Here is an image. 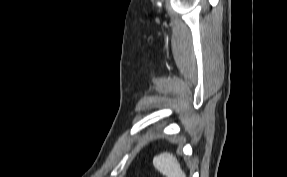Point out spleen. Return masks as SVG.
Instances as JSON below:
<instances>
[{
  "label": "spleen",
  "instance_id": "obj_1",
  "mask_svg": "<svg viewBox=\"0 0 287 177\" xmlns=\"http://www.w3.org/2000/svg\"><path fill=\"white\" fill-rule=\"evenodd\" d=\"M153 165L166 177H186L178 160L170 153L164 152L155 156L153 158Z\"/></svg>",
  "mask_w": 287,
  "mask_h": 177
}]
</instances>
